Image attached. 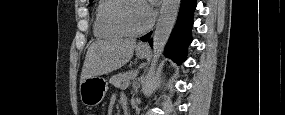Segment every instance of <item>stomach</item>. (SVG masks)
Instances as JSON below:
<instances>
[{"label": "stomach", "mask_w": 285, "mask_h": 115, "mask_svg": "<svg viewBox=\"0 0 285 115\" xmlns=\"http://www.w3.org/2000/svg\"><path fill=\"white\" fill-rule=\"evenodd\" d=\"M136 55L139 58H144L147 55V50L136 48ZM108 89L107 81L102 77H89L80 83L79 92L82 103L88 107L97 106Z\"/></svg>", "instance_id": "obj_1"}]
</instances>
